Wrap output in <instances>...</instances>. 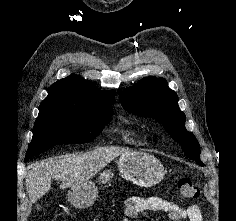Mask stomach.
I'll return each instance as SVG.
<instances>
[{"label": "stomach", "mask_w": 236, "mask_h": 221, "mask_svg": "<svg viewBox=\"0 0 236 221\" xmlns=\"http://www.w3.org/2000/svg\"><path fill=\"white\" fill-rule=\"evenodd\" d=\"M124 178L141 187H152L158 184L165 175L162 163L145 152H126L117 162ZM113 173L103 171L99 179L102 184L110 181ZM98 196V188L92 181L74 185L68 191V201L78 208L91 206Z\"/></svg>", "instance_id": "0dacf381"}]
</instances>
